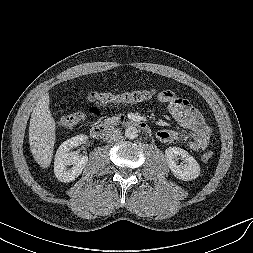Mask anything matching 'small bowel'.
Returning <instances> with one entry per match:
<instances>
[{"mask_svg":"<svg viewBox=\"0 0 253 253\" xmlns=\"http://www.w3.org/2000/svg\"><path fill=\"white\" fill-rule=\"evenodd\" d=\"M157 101L164 104L174 120L188 133H180L171 129L159 130L156 137L163 143L183 139L193 151H201L208 145L211 128L206 124L202 114L187 99L171 90L161 91Z\"/></svg>","mask_w":253,"mask_h":253,"instance_id":"obj_1","label":"small bowel"}]
</instances>
